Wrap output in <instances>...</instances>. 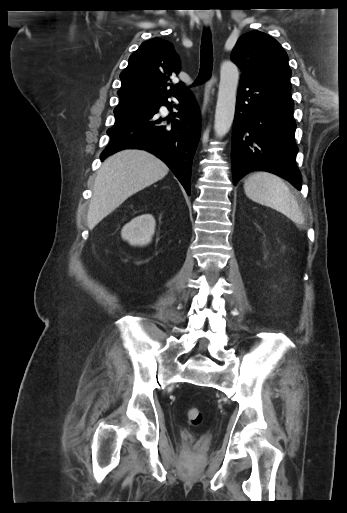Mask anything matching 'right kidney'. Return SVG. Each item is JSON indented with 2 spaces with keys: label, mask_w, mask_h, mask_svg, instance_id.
Returning a JSON list of instances; mask_svg holds the SVG:
<instances>
[{
  "label": "right kidney",
  "mask_w": 347,
  "mask_h": 513,
  "mask_svg": "<svg viewBox=\"0 0 347 513\" xmlns=\"http://www.w3.org/2000/svg\"><path fill=\"white\" fill-rule=\"evenodd\" d=\"M156 222L151 214H143L132 219L121 230V236L130 245L144 246L151 242Z\"/></svg>",
  "instance_id": "obj_1"
}]
</instances>
